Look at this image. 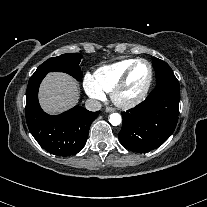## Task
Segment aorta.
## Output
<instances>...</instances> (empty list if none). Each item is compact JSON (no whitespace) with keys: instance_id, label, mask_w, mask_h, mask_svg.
<instances>
[{"instance_id":"1","label":"aorta","mask_w":207,"mask_h":207,"mask_svg":"<svg viewBox=\"0 0 207 207\" xmlns=\"http://www.w3.org/2000/svg\"><path fill=\"white\" fill-rule=\"evenodd\" d=\"M109 122L113 126H118L122 122L121 115L118 114V113H112V114H110V116H109Z\"/></svg>"}]
</instances>
